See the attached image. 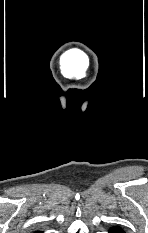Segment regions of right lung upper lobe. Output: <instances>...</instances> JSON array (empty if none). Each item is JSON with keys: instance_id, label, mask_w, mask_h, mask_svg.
<instances>
[{"instance_id": "cb5924a9", "label": "right lung upper lobe", "mask_w": 148, "mask_h": 233, "mask_svg": "<svg viewBox=\"0 0 148 233\" xmlns=\"http://www.w3.org/2000/svg\"><path fill=\"white\" fill-rule=\"evenodd\" d=\"M34 233H41V232L36 231V232H34Z\"/></svg>"}]
</instances>
